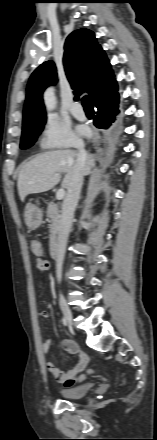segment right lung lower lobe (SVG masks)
Instances as JSON below:
<instances>
[{
	"instance_id": "1",
	"label": "right lung lower lobe",
	"mask_w": 157,
	"mask_h": 440,
	"mask_svg": "<svg viewBox=\"0 0 157 440\" xmlns=\"http://www.w3.org/2000/svg\"><path fill=\"white\" fill-rule=\"evenodd\" d=\"M96 117L94 125L98 128L109 129V132H115L118 127L119 108V94L114 93L108 98L104 99L100 104L95 105Z\"/></svg>"
}]
</instances>
